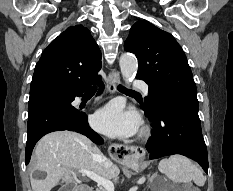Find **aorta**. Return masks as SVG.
Listing matches in <instances>:
<instances>
[{
	"mask_svg": "<svg viewBox=\"0 0 233 191\" xmlns=\"http://www.w3.org/2000/svg\"><path fill=\"white\" fill-rule=\"evenodd\" d=\"M119 65L125 82H132L138 70V62L136 57L130 53H124L120 57Z\"/></svg>",
	"mask_w": 233,
	"mask_h": 191,
	"instance_id": "obj_1",
	"label": "aorta"
}]
</instances>
